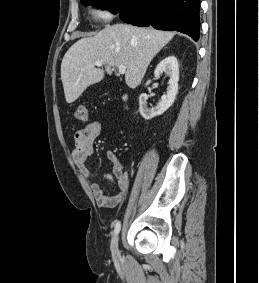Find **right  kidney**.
<instances>
[{
	"mask_svg": "<svg viewBox=\"0 0 259 283\" xmlns=\"http://www.w3.org/2000/svg\"><path fill=\"white\" fill-rule=\"evenodd\" d=\"M163 72L170 77L169 86L166 95L162 96L157 106L148 108L146 102L148 99L147 94L142 93L139 96V111L141 116L146 120H150L163 114L170 106H172L178 93L179 67L175 56H168L157 65L154 71L155 78H159ZM150 83L151 80H148L146 85H149Z\"/></svg>",
	"mask_w": 259,
	"mask_h": 283,
	"instance_id": "right-kidney-1",
	"label": "right kidney"
}]
</instances>
